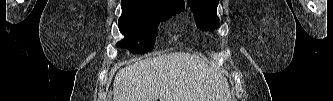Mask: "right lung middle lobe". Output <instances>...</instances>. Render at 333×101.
I'll use <instances>...</instances> for the list:
<instances>
[{
	"label": "right lung middle lobe",
	"instance_id": "dd1d6c3e",
	"mask_svg": "<svg viewBox=\"0 0 333 101\" xmlns=\"http://www.w3.org/2000/svg\"><path fill=\"white\" fill-rule=\"evenodd\" d=\"M185 4L165 0H122L119 29L125 39L117 46L132 53L145 54L154 48L158 25L180 13ZM141 41V43H137Z\"/></svg>",
	"mask_w": 333,
	"mask_h": 101
}]
</instances>
